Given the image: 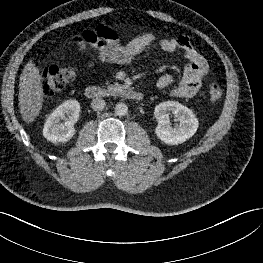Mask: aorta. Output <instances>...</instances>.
Masks as SVG:
<instances>
[{
  "instance_id": "obj_1",
  "label": "aorta",
  "mask_w": 263,
  "mask_h": 263,
  "mask_svg": "<svg viewBox=\"0 0 263 263\" xmlns=\"http://www.w3.org/2000/svg\"><path fill=\"white\" fill-rule=\"evenodd\" d=\"M115 113L118 116H125L128 113V106L125 103H118L115 106Z\"/></svg>"
}]
</instances>
